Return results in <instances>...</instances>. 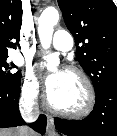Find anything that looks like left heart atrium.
<instances>
[{
	"label": "left heart atrium",
	"instance_id": "left-heart-atrium-1",
	"mask_svg": "<svg viewBox=\"0 0 117 136\" xmlns=\"http://www.w3.org/2000/svg\"><path fill=\"white\" fill-rule=\"evenodd\" d=\"M65 75V70L59 69L46 76V88L48 94L53 92L62 82Z\"/></svg>",
	"mask_w": 117,
	"mask_h": 136
}]
</instances>
